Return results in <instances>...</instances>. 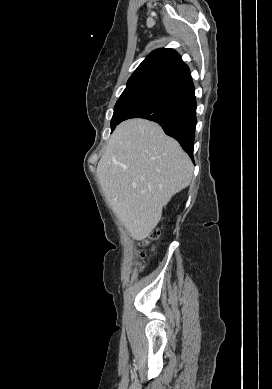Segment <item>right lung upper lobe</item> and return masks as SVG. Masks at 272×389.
<instances>
[{
  "mask_svg": "<svg viewBox=\"0 0 272 389\" xmlns=\"http://www.w3.org/2000/svg\"><path fill=\"white\" fill-rule=\"evenodd\" d=\"M190 74L180 55L173 49H157L150 53L129 78L127 84L157 83L162 86Z\"/></svg>",
  "mask_w": 272,
  "mask_h": 389,
  "instance_id": "1",
  "label": "right lung upper lobe"
}]
</instances>
